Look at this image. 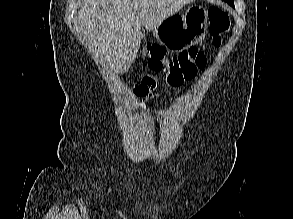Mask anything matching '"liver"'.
<instances>
[{
	"instance_id": "1",
	"label": "liver",
	"mask_w": 293,
	"mask_h": 219,
	"mask_svg": "<svg viewBox=\"0 0 293 219\" xmlns=\"http://www.w3.org/2000/svg\"><path fill=\"white\" fill-rule=\"evenodd\" d=\"M194 0H80L79 35L95 57L116 71H127L143 32L153 30Z\"/></svg>"
}]
</instances>
